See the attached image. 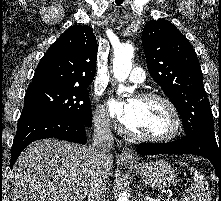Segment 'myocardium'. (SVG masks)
<instances>
[{"instance_id": "myocardium-1", "label": "myocardium", "mask_w": 221, "mask_h": 201, "mask_svg": "<svg viewBox=\"0 0 221 201\" xmlns=\"http://www.w3.org/2000/svg\"><path fill=\"white\" fill-rule=\"evenodd\" d=\"M137 100L140 101H147V100H158L162 102L167 110L169 111L172 120H173V128L172 131L167 134V135H162V136H148V135H140L133 133L132 131L128 130L123 123L120 124V129L121 131L127 135L128 137L138 140V141H145V142H169L175 139L182 130V120L179 115L178 110L176 109L175 105L173 102L167 98L166 96L155 93V92H145V93H140L136 96Z\"/></svg>"}]
</instances>
